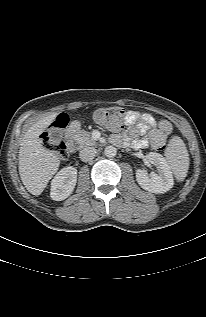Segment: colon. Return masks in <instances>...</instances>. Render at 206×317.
Returning a JSON list of instances; mask_svg holds the SVG:
<instances>
[{
  "label": "colon",
  "mask_w": 206,
  "mask_h": 317,
  "mask_svg": "<svg viewBox=\"0 0 206 317\" xmlns=\"http://www.w3.org/2000/svg\"><path fill=\"white\" fill-rule=\"evenodd\" d=\"M95 120L105 128L110 130H121L127 122V112L119 107L102 108L95 112ZM68 123V117L59 116L54 122L55 128H63ZM43 143L47 148L54 149L62 159L68 156V149L63 142L55 144L52 132H45L42 136ZM162 148H164L162 146Z\"/></svg>",
  "instance_id": "1"
}]
</instances>
